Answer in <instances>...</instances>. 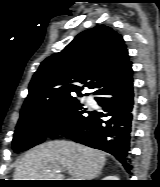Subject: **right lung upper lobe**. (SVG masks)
<instances>
[{"label": "right lung upper lobe", "mask_w": 160, "mask_h": 187, "mask_svg": "<svg viewBox=\"0 0 160 187\" xmlns=\"http://www.w3.org/2000/svg\"><path fill=\"white\" fill-rule=\"evenodd\" d=\"M130 64L120 34L105 25L86 30L41 63L30 82L21 113L75 99V94L82 96L85 86L94 89L95 94Z\"/></svg>", "instance_id": "obj_1"}]
</instances>
